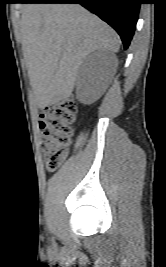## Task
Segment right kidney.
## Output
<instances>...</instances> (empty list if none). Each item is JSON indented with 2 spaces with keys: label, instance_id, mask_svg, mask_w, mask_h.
Here are the masks:
<instances>
[{
  "label": "right kidney",
  "instance_id": "1",
  "mask_svg": "<svg viewBox=\"0 0 166 267\" xmlns=\"http://www.w3.org/2000/svg\"><path fill=\"white\" fill-rule=\"evenodd\" d=\"M89 67H84L78 78L77 98L83 104L95 102L106 89V76L110 69V61L98 51L89 56Z\"/></svg>",
  "mask_w": 166,
  "mask_h": 267
}]
</instances>
